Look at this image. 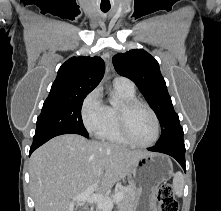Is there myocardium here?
<instances>
[{"instance_id":"1","label":"myocardium","mask_w":221,"mask_h":211,"mask_svg":"<svg viewBox=\"0 0 221 211\" xmlns=\"http://www.w3.org/2000/svg\"><path fill=\"white\" fill-rule=\"evenodd\" d=\"M137 107H143L149 111L151 116L153 117L154 124H155V135L154 138L148 142V143H139L137 142L131 135L130 130H129V124H128V117L130 112L137 108ZM117 116H118V124H119V130L123 138L131 145L136 146V147H150L154 145L160 136V123L157 114L155 111L152 109L150 105L147 103L138 100V99H130V100H125L122 102V104L118 107L117 110Z\"/></svg>"}]
</instances>
